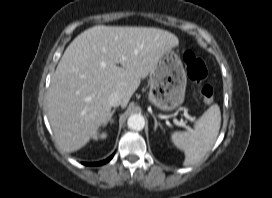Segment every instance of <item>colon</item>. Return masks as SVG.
Here are the masks:
<instances>
[{"mask_svg":"<svg viewBox=\"0 0 272 198\" xmlns=\"http://www.w3.org/2000/svg\"><path fill=\"white\" fill-rule=\"evenodd\" d=\"M186 70L189 77L200 84V96L209 103L214 98L213 87L207 83L208 72L204 62L191 50L183 54Z\"/></svg>","mask_w":272,"mask_h":198,"instance_id":"colon-1","label":"colon"}]
</instances>
